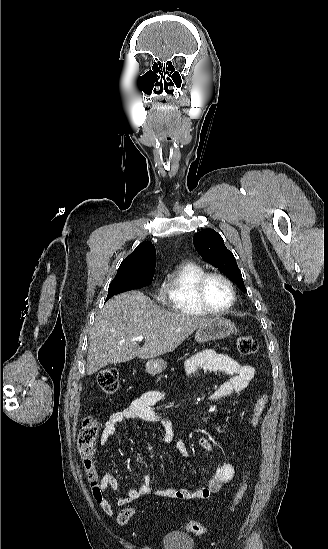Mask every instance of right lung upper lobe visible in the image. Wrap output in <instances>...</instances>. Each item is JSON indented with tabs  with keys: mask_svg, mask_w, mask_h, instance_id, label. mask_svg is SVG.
<instances>
[{
	"mask_svg": "<svg viewBox=\"0 0 328 549\" xmlns=\"http://www.w3.org/2000/svg\"><path fill=\"white\" fill-rule=\"evenodd\" d=\"M146 262H156V251L151 242L141 243L129 256L123 260L118 271Z\"/></svg>",
	"mask_w": 328,
	"mask_h": 549,
	"instance_id": "cb5924a9",
	"label": "right lung upper lobe"
}]
</instances>
